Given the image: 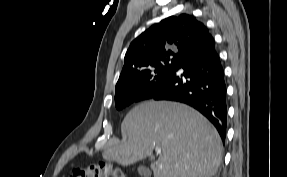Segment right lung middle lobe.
Instances as JSON below:
<instances>
[{
	"label": "right lung middle lobe",
	"mask_w": 287,
	"mask_h": 177,
	"mask_svg": "<svg viewBox=\"0 0 287 177\" xmlns=\"http://www.w3.org/2000/svg\"><path fill=\"white\" fill-rule=\"evenodd\" d=\"M177 64L178 58L160 60L147 69L136 83L116 87V108L121 110L137 101L148 87L165 77Z\"/></svg>",
	"instance_id": "right-lung-middle-lobe-1"
}]
</instances>
